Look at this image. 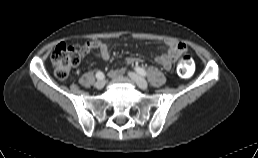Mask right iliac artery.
<instances>
[{
    "mask_svg": "<svg viewBox=\"0 0 258 158\" xmlns=\"http://www.w3.org/2000/svg\"><path fill=\"white\" fill-rule=\"evenodd\" d=\"M96 78H97V79H103V78H104V74H103L101 71H98V72L96 73Z\"/></svg>",
    "mask_w": 258,
    "mask_h": 158,
    "instance_id": "right-iliac-artery-1",
    "label": "right iliac artery"
}]
</instances>
